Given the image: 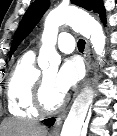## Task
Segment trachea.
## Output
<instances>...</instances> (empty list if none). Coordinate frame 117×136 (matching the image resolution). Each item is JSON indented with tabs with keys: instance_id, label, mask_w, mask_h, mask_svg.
I'll use <instances>...</instances> for the list:
<instances>
[{
	"instance_id": "trachea-1",
	"label": "trachea",
	"mask_w": 117,
	"mask_h": 136,
	"mask_svg": "<svg viewBox=\"0 0 117 136\" xmlns=\"http://www.w3.org/2000/svg\"><path fill=\"white\" fill-rule=\"evenodd\" d=\"M77 46H78L79 51H83L85 48V41L83 39H79Z\"/></svg>"
}]
</instances>
